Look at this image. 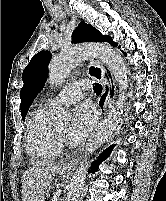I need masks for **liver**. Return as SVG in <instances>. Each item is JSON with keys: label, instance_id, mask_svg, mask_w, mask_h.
Listing matches in <instances>:
<instances>
[{"label": "liver", "instance_id": "obj_1", "mask_svg": "<svg viewBox=\"0 0 166 201\" xmlns=\"http://www.w3.org/2000/svg\"><path fill=\"white\" fill-rule=\"evenodd\" d=\"M69 169V165L62 163H36L27 169L22 176V201H44L54 177Z\"/></svg>", "mask_w": 166, "mask_h": 201}]
</instances>
